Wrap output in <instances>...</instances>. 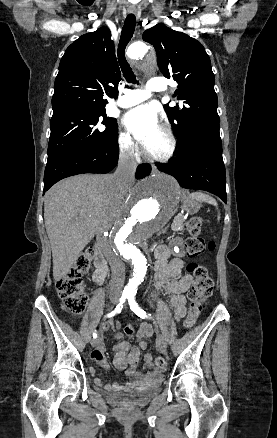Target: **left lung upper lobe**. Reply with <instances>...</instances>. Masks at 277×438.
<instances>
[{"label": "left lung upper lobe", "instance_id": "1", "mask_svg": "<svg viewBox=\"0 0 277 438\" xmlns=\"http://www.w3.org/2000/svg\"><path fill=\"white\" fill-rule=\"evenodd\" d=\"M143 40L154 46L163 75L178 83L183 105L165 110L183 152L206 123L219 122L210 58L196 39L162 24L144 31Z\"/></svg>", "mask_w": 277, "mask_h": 438}]
</instances>
